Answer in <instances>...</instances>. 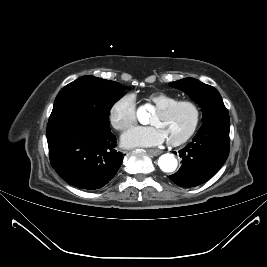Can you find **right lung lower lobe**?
I'll return each instance as SVG.
<instances>
[{"label":"right lung lower lobe","instance_id":"right-lung-lower-lobe-1","mask_svg":"<svg viewBox=\"0 0 267 267\" xmlns=\"http://www.w3.org/2000/svg\"><path fill=\"white\" fill-rule=\"evenodd\" d=\"M50 162L70 185L95 190L106 185L122 164L110 127L81 117L47 126Z\"/></svg>","mask_w":267,"mask_h":267}]
</instances>
